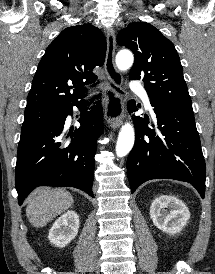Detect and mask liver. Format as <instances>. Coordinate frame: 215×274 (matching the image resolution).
Here are the masks:
<instances>
[{
    "instance_id": "1",
    "label": "liver",
    "mask_w": 215,
    "mask_h": 274,
    "mask_svg": "<svg viewBox=\"0 0 215 274\" xmlns=\"http://www.w3.org/2000/svg\"><path fill=\"white\" fill-rule=\"evenodd\" d=\"M73 204L72 195L64 189L37 188L28 198L26 215L36 228L44 227Z\"/></svg>"
}]
</instances>
